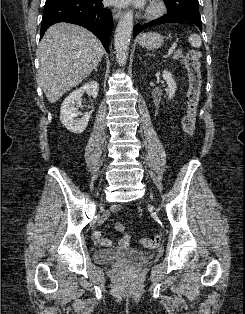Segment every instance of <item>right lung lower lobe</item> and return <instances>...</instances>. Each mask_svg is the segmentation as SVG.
<instances>
[{
  "instance_id": "right-lung-lower-lobe-1",
  "label": "right lung lower lobe",
  "mask_w": 245,
  "mask_h": 314,
  "mask_svg": "<svg viewBox=\"0 0 245 314\" xmlns=\"http://www.w3.org/2000/svg\"><path fill=\"white\" fill-rule=\"evenodd\" d=\"M68 22L93 32L108 51L113 29L112 13L103 6L102 0H46L40 38L49 26Z\"/></svg>"
}]
</instances>
